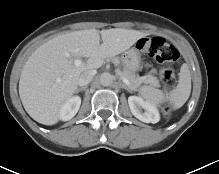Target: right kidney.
I'll list each match as a JSON object with an SVG mask.
<instances>
[{
	"label": "right kidney",
	"instance_id": "ca27d5eb",
	"mask_svg": "<svg viewBox=\"0 0 219 174\" xmlns=\"http://www.w3.org/2000/svg\"><path fill=\"white\" fill-rule=\"evenodd\" d=\"M81 105V98L79 96L71 97L60 110V120L68 121L72 119L78 112Z\"/></svg>",
	"mask_w": 219,
	"mask_h": 174
}]
</instances>
